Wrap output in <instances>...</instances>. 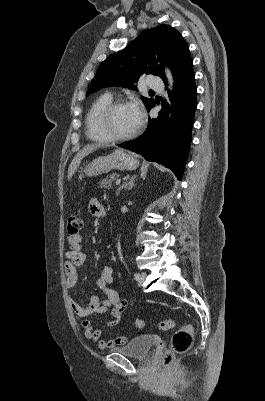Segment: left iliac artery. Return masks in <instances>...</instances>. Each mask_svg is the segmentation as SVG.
<instances>
[{
    "label": "left iliac artery",
    "mask_w": 265,
    "mask_h": 401,
    "mask_svg": "<svg viewBox=\"0 0 265 401\" xmlns=\"http://www.w3.org/2000/svg\"><path fill=\"white\" fill-rule=\"evenodd\" d=\"M134 276H135V279L137 280V273H135V275H134Z\"/></svg>",
    "instance_id": "obj_1"
}]
</instances>
